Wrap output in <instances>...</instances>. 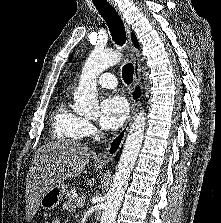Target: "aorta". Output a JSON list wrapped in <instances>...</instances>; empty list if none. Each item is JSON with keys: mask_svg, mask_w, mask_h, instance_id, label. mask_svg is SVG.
Masks as SVG:
<instances>
[{"mask_svg": "<svg viewBox=\"0 0 221 223\" xmlns=\"http://www.w3.org/2000/svg\"><path fill=\"white\" fill-rule=\"evenodd\" d=\"M122 54L116 50L94 49L87 58L79 85L74 93V111L80 115L97 116L99 102L97 98V77L107 68L116 65ZM146 126V114L140 112L134 119L118 162L113 184L104 206L101 223H115L128 180L139 154Z\"/></svg>", "mask_w": 221, "mask_h": 223, "instance_id": "obj_1", "label": "aorta"}]
</instances>
